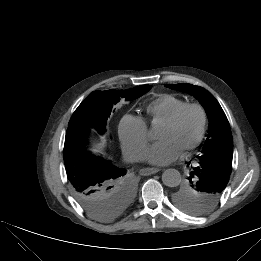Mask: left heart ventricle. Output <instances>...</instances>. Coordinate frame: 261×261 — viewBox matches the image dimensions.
<instances>
[{
	"label": "left heart ventricle",
	"instance_id": "b2bd125f",
	"mask_svg": "<svg viewBox=\"0 0 261 261\" xmlns=\"http://www.w3.org/2000/svg\"><path fill=\"white\" fill-rule=\"evenodd\" d=\"M201 117L196 109L188 110L175 126L163 125L158 133L159 140L171 139L183 150L196 137Z\"/></svg>",
	"mask_w": 261,
	"mask_h": 261
}]
</instances>
